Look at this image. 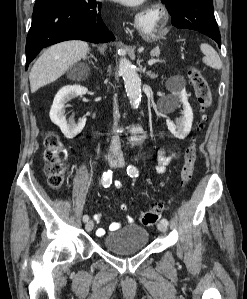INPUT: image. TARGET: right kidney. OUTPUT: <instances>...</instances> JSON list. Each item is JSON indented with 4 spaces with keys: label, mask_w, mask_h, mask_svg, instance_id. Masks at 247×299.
Masks as SVG:
<instances>
[{
    "label": "right kidney",
    "mask_w": 247,
    "mask_h": 299,
    "mask_svg": "<svg viewBox=\"0 0 247 299\" xmlns=\"http://www.w3.org/2000/svg\"><path fill=\"white\" fill-rule=\"evenodd\" d=\"M87 91V88L81 85L65 86L58 91L54 98L49 113L50 119L68 139H73L81 133L86 124V118H82L77 123L73 119L67 121L64 110L65 103L74 97L85 95Z\"/></svg>",
    "instance_id": "ca27d5eb"
}]
</instances>
